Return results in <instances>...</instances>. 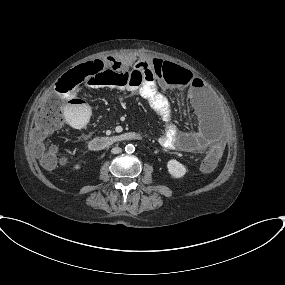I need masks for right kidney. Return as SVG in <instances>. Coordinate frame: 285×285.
Wrapping results in <instances>:
<instances>
[{"label":"right kidney","mask_w":285,"mask_h":285,"mask_svg":"<svg viewBox=\"0 0 285 285\" xmlns=\"http://www.w3.org/2000/svg\"><path fill=\"white\" fill-rule=\"evenodd\" d=\"M81 168V165L80 164H76L75 166H74V169L75 170H79Z\"/></svg>","instance_id":"obj_1"}]
</instances>
